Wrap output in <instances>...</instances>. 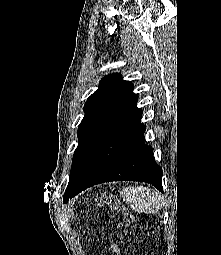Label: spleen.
I'll return each mask as SVG.
<instances>
[{
  "instance_id": "3e777b00",
  "label": "spleen",
  "mask_w": 221,
  "mask_h": 255,
  "mask_svg": "<svg viewBox=\"0 0 221 255\" xmlns=\"http://www.w3.org/2000/svg\"><path fill=\"white\" fill-rule=\"evenodd\" d=\"M121 195L123 200L138 213H156L163 207L162 197L155 190L141 186L126 187Z\"/></svg>"
}]
</instances>
